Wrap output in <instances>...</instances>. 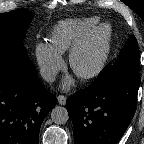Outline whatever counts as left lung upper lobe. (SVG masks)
I'll list each match as a JSON object with an SVG mask.
<instances>
[{
	"instance_id": "left-lung-upper-lobe-1",
	"label": "left lung upper lobe",
	"mask_w": 144,
	"mask_h": 144,
	"mask_svg": "<svg viewBox=\"0 0 144 144\" xmlns=\"http://www.w3.org/2000/svg\"><path fill=\"white\" fill-rule=\"evenodd\" d=\"M139 48L136 38L131 35L121 50L115 63L105 68L100 74L106 84L119 78H134L139 76Z\"/></svg>"
}]
</instances>
